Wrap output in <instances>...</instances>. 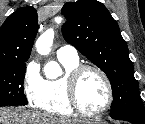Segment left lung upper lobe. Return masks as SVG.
I'll list each match as a JSON object with an SVG mask.
<instances>
[{"label":"left lung upper lobe","instance_id":"left-lung-upper-lobe-1","mask_svg":"<svg viewBox=\"0 0 145 124\" xmlns=\"http://www.w3.org/2000/svg\"><path fill=\"white\" fill-rule=\"evenodd\" d=\"M62 14L67 18L62 27L65 40L104 71L111 82L110 116L145 124V108L128 47L106 7L96 0H79L67 2Z\"/></svg>","mask_w":145,"mask_h":124}]
</instances>
